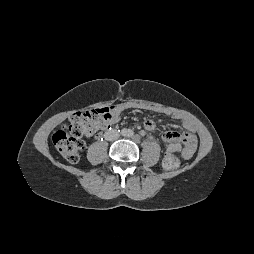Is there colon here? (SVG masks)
<instances>
[{
    "mask_svg": "<svg viewBox=\"0 0 254 254\" xmlns=\"http://www.w3.org/2000/svg\"><path fill=\"white\" fill-rule=\"evenodd\" d=\"M111 107L76 113L68 123L53 135V143L64 159L69 163H77L80 152L84 148L83 137L94 134L99 129L107 128L111 119ZM179 160L175 155H166L162 166L166 171L178 168Z\"/></svg>",
    "mask_w": 254,
    "mask_h": 254,
    "instance_id": "obj_1",
    "label": "colon"
}]
</instances>
